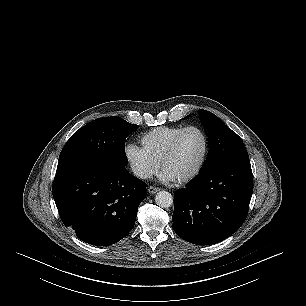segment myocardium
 Wrapping results in <instances>:
<instances>
[{"mask_svg": "<svg viewBox=\"0 0 306 306\" xmlns=\"http://www.w3.org/2000/svg\"><path fill=\"white\" fill-rule=\"evenodd\" d=\"M189 130H196L202 135L203 140H204V151H203L202 158H201L198 166L196 167V169L191 174L177 179L176 182H178V183H187V182H190V181L194 180L202 172V170L205 166V163L207 161L208 153H209V139H208V136H207L206 132L199 126L189 125V126L184 127L175 136V138L171 142L170 146L168 147L167 151L165 152V154L163 155V157L161 159V162H160L161 163V168L164 170V167H165L166 163L175 154L183 135Z\"/></svg>", "mask_w": 306, "mask_h": 306, "instance_id": "1", "label": "myocardium"}]
</instances>
